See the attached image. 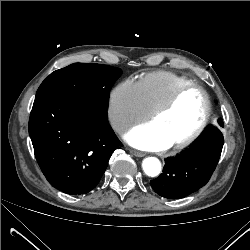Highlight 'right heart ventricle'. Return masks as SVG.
Masks as SVG:
<instances>
[{
	"label": "right heart ventricle",
	"instance_id": "e07e8e85",
	"mask_svg": "<svg viewBox=\"0 0 250 250\" xmlns=\"http://www.w3.org/2000/svg\"><path fill=\"white\" fill-rule=\"evenodd\" d=\"M190 83H193V80L188 77L169 71H155L140 77L136 85L146 108L153 113L179 87Z\"/></svg>",
	"mask_w": 250,
	"mask_h": 250
}]
</instances>
